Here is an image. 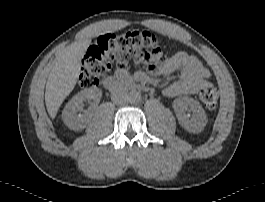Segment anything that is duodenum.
Wrapping results in <instances>:
<instances>
[{
	"mask_svg": "<svg viewBox=\"0 0 265 202\" xmlns=\"http://www.w3.org/2000/svg\"><path fill=\"white\" fill-rule=\"evenodd\" d=\"M103 84L104 87L112 93H115L122 88H129L131 90H140L144 92L150 91V87L148 85H144L125 75L108 76L104 79Z\"/></svg>",
	"mask_w": 265,
	"mask_h": 202,
	"instance_id": "410a0bca",
	"label": "duodenum"
}]
</instances>
